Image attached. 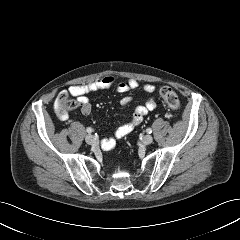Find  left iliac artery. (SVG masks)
<instances>
[{"instance_id": "left-iliac-artery-1", "label": "left iliac artery", "mask_w": 240, "mask_h": 240, "mask_svg": "<svg viewBox=\"0 0 240 240\" xmlns=\"http://www.w3.org/2000/svg\"><path fill=\"white\" fill-rule=\"evenodd\" d=\"M146 132H147L148 134H150V133H152V129H151V128H147V129H146Z\"/></svg>"}]
</instances>
